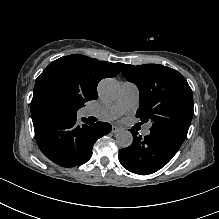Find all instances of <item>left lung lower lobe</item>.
<instances>
[{
	"label": "left lung lower lobe",
	"instance_id": "1",
	"mask_svg": "<svg viewBox=\"0 0 219 219\" xmlns=\"http://www.w3.org/2000/svg\"><path fill=\"white\" fill-rule=\"evenodd\" d=\"M133 142L119 150V161L128 171L139 175L152 174L163 168L177 153L180 144L160 134L150 132L142 137L133 129Z\"/></svg>",
	"mask_w": 219,
	"mask_h": 219
}]
</instances>
